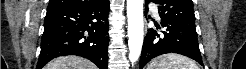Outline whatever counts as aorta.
Masks as SVG:
<instances>
[{
    "label": "aorta",
    "instance_id": "aorta-1",
    "mask_svg": "<svg viewBox=\"0 0 246 69\" xmlns=\"http://www.w3.org/2000/svg\"><path fill=\"white\" fill-rule=\"evenodd\" d=\"M143 0H127L129 60L136 62L143 45Z\"/></svg>",
    "mask_w": 246,
    "mask_h": 69
}]
</instances>
